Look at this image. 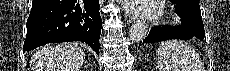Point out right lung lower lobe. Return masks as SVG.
I'll return each mask as SVG.
<instances>
[{
  "label": "right lung lower lobe",
  "mask_w": 230,
  "mask_h": 71,
  "mask_svg": "<svg viewBox=\"0 0 230 71\" xmlns=\"http://www.w3.org/2000/svg\"><path fill=\"white\" fill-rule=\"evenodd\" d=\"M99 0H33L23 51L47 43L84 41L99 54Z\"/></svg>",
  "instance_id": "obj_1"
}]
</instances>
